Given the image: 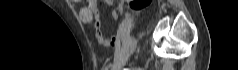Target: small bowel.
Segmentation results:
<instances>
[{"label": "small bowel", "mask_w": 238, "mask_h": 70, "mask_svg": "<svg viewBox=\"0 0 238 70\" xmlns=\"http://www.w3.org/2000/svg\"><path fill=\"white\" fill-rule=\"evenodd\" d=\"M104 3L107 6H110L112 4V0H105ZM98 15H99L98 9L96 7L95 1H93V0H91L89 2V7L82 8L80 10V18L83 22L90 23L93 20L94 17L96 18L95 36H96L99 44L102 45V46H105V47L115 45L117 43V37L114 36L110 39H107L103 35V33L100 29V22L98 20ZM111 16H112L113 19H116L117 18V13L115 11H112Z\"/></svg>", "instance_id": "small-bowel-1"}]
</instances>
